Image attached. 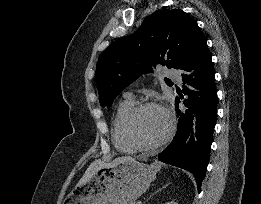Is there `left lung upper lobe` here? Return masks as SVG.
<instances>
[{"instance_id": "5c2ea615", "label": "left lung upper lobe", "mask_w": 261, "mask_h": 204, "mask_svg": "<svg viewBox=\"0 0 261 204\" xmlns=\"http://www.w3.org/2000/svg\"><path fill=\"white\" fill-rule=\"evenodd\" d=\"M198 31L197 22L182 10H161L135 33L113 42L97 65L100 104L109 108L125 87L156 65L179 69Z\"/></svg>"}]
</instances>
